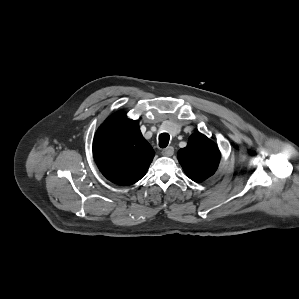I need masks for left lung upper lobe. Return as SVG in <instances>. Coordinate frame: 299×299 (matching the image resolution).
<instances>
[{
    "mask_svg": "<svg viewBox=\"0 0 299 299\" xmlns=\"http://www.w3.org/2000/svg\"><path fill=\"white\" fill-rule=\"evenodd\" d=\"M177 157L187 176L196 182L212 176L220 162L218 147L199 132L190 136L187 146L179 150Z\"/></svg>",
    "mask_w": 299,
    "mask_h": 299,
    "instance_id": "1",
    "label": "left lung upper lobe"
}]
</instances>
